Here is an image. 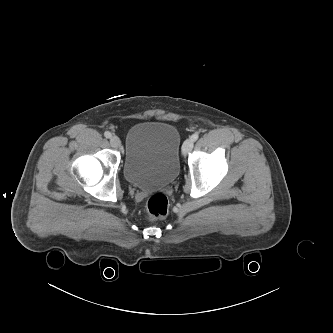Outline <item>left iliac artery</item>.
<instances>
[{"label":"left iliac artery","instance_id":"1","mask_svg":"<svg viewBox=\"0 0 333 333\" xmlns=\"http://www.w3.org/2000/svg\"><path fill=\"white\" fill-rule=\"evenodd\" d=\"M198 138H199L198 133H194V134L191 136V139H192L193 141H196Z\"/></svg>","mask_w":333,"mask_h":333}]
</instances>
